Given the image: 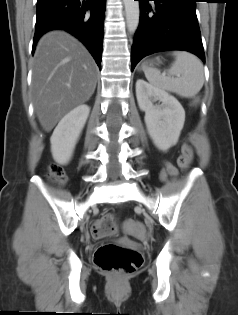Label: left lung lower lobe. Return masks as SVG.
<instances>
[{"label":"left lung lower lobe","mask_w":238,"mask_h":315,"mask_svg":"<svg viewBox=\"0 0 238 315\" xmlns=\"http://www.w3.org/2000/svg\"><path fill=\"white\" fill-rule=\"evenodd\" d=\"M137 1L140 22L131 49L132 71L145 56L166 50L189 51L205 62L196 16L197 0Z\"/></svg>","instance_id":"obj_1"}]
</instances>
